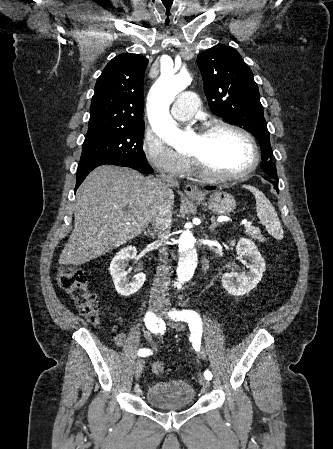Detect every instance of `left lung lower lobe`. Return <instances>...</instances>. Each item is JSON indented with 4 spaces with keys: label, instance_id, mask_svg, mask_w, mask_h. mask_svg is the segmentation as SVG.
Returning a JSON list of instances; mask_svg holds the SVG:
<instances>
[{
    "label": "left lung lower lobe",
    "instance_id": "left-lung-lower-lobe-1",
    "mask_svg": "<svg viewBox=\"0 0 333 449\" xmlns=\"http://www.w3.org/2000/svg\"><path fill=\"white\" fill-rule=\"evenodd\" d=\"M276 181H278V179H275ZM275 186L277 187V184H275ZM206 189H208V190H213V189H215V187H206ZM279 190L277 189V192H278Z\"/></svg>",
    "mask_w": 333,
    "mask_h": 449
}]
</instances>
